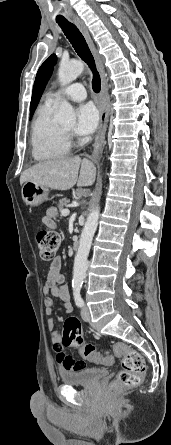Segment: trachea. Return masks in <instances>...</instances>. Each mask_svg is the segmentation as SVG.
Returning a JSON list of instances; mask_svg holds the SVG:
<instances>
[{
  "label": "trachea",
  "instance_id": "obj_1",
  "mask_svg": "<svg viewBox=\"0 0 171 445\" xmlns=\"http://www.w3.org/2000/svg\"><path fill=\"white\" fill-rule=\"evenodd\" d=\"M57 23L61 27L62 31L66 35L67 39L72 44L74 50L78 56L87 63L92 71V88L95 93H99L101 90V79L98 71L96 70L94 58L90 52V49L79 29L69 22L68 20H57Z\"/></svg>",
  "mask_w": 171,
  "mask_h": 445
}]
</instances>
